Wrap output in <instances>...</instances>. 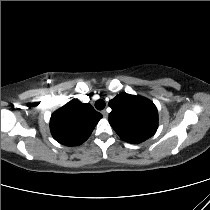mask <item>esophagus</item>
<instances>
[{
    "instance_id": "1",
    "label": "esophagus",
    "mask_w": 210,
    "mask_h": 210,
    "mask_svg": "<svg viewBox=\"0 0 210 210\" xmlns=\"http://www.w3.org/2000/svg\"><path fill=\"white\" fill-rule=\"evenodd\" d=\"M101 113H102L103 117H105V118H107V117H108V113H107V111H106V110H103Z\"/></svg>"
}]
</instances>
